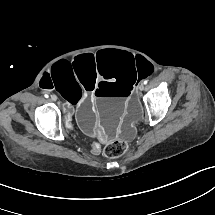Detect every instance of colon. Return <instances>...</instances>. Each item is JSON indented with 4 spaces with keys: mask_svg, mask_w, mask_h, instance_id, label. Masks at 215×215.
I'll use <instances>...</instances> for the list:
<instances>
[{
    "mask_svg": "<svg viewBox=\"0 0 215 215\" xmlns=\"http://www.w3.org/2000/svg\"><path fill=\"white\" fill-rule=\"evenodd\" d=\"M126 151V144L123 142H114L104 148V155L108 158L121 156Z\"/></svg>",
    "mask_w": 215,
    "mask_h": 215,
    "instance_id": "colon-1",
    "label": "colon"
}]
</instances>
